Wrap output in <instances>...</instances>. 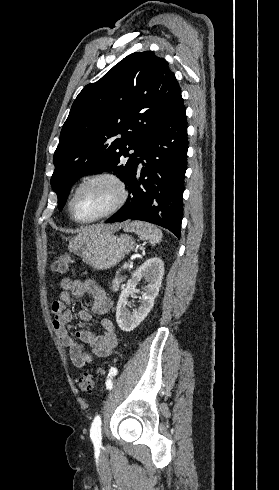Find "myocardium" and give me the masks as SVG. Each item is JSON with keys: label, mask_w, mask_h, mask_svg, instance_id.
I'll list each match as a JSON object with an SVG mask.
<instances>
[{"label": "myocardium", "mask_w": 279, "mask_h": 490, "mask_svg": "<svg viewBox=\"0 0 279 490\" xmlns=\"http://www.w3.org/2000/svg\"><path fill=\"white\" fill-rule=\"evenodd\" d=\"M94 181H104L109 184H111L115 191H116V196L113 199V201L107 205L103 210H101L99 213L96 215L87 218V219H79L76 217L74 213V202L75 199L80 191V189L87 183L94 182ZM128 188L126 186V183L124 180L115 172L111 170H98L94 171L91 173H88L87 175L83 176L73 187L70 199H69V213L72 219L79 223V224H88L92 223L95 221H98L100 219H103L116 211H118L127 201L128 199Z\"/></svg>", "instance_id": "1"}]
</instances>
